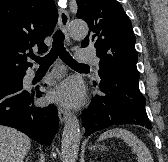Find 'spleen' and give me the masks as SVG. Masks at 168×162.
<instances>
[{"label": "spleen", "mask_w": 168, "mask_h": 162, "mask_svg": "<svg viewBox=\"0 0 168 162\" xmlns=\"http://www.w3.org/2000/svg\"><path fill=\"white\" fill-rule=\"evenodd\" d=\"M111 137L123 139L132 148V153L137 155L138 162H154L146 145L130 131L121 128L110 129L102 133L98 141Z\"/></svg>", "instance_id": "obj_1"}]
</instances>
